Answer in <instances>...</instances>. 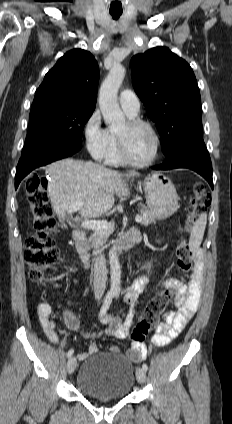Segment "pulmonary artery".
<instances>
[{"label":"pulmonary artery","mask_w":232,"mask_h":424,"mask_svg":"<svg viewBox=\"0 0 232 424\" xmlns=\"http://www.w3.org/2000/svg\"><path fill=\"white\" fill-rule=\"evenodd\" d=\"M119 105L129 116L134 117L140 111V101L131 90H123L119 95Z\"/></svg>","instance_id":"e3ab8cb5"}]
</instances>
